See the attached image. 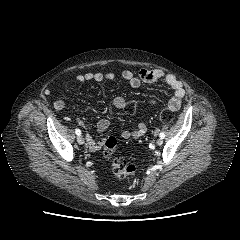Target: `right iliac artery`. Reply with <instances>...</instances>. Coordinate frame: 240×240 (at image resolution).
I'll return each mask as SVG.
<instances>
[{
  "instance_id": "right-iliac-artery-1",
  "label": "right iliac artery",
  "mask_w": 240,
  "mask_h": 240,
  "mask_svg": "<svg viewBox=\"0 0 240 240\" xmlns=\"http://www.w3.org/2000/svg\"><path fill=\"white\" fill-rule=\"evenodd\" d=\"M75 133H76L77 135H81L80 129H75Z\"/></svg>"
}]
</instances>
